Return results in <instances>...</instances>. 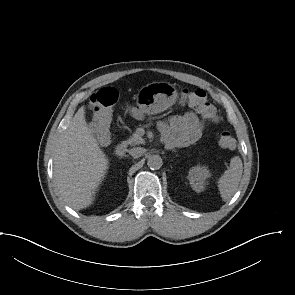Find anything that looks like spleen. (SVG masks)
Segmentation results:
<instances>
[{"label":"spleen","instance_id":"obj_1","mask_svg":"<svg viewBox=\"0 0 295 295\" xmlns=\"http://www.w3.org/2000/svg\"><path fill=\"white\" fill-rule=\"evenodd\" d=\"M243 164L239 156H235L230 161V167L218 180L220 195L224 201H228L237 191L242 177Z\"/></svg>","mask_w":295,"mask_h":295}]
</instances>
